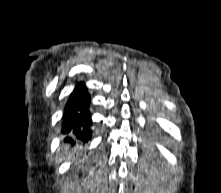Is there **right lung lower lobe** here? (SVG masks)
I'll return each mask as SVG.
<instances>
[{
    "label": "right lung lower lobe",
    "mask_w": 221,
    "mask_h": 193,
    "mask_svg": "<svg viewBox=\"0 0 221 193\" xmlns=\"http://www.w3.org/2000/svg\"><path fill=\"white\" fill-rule=\"evenodd\" d=\"M90 97L84 85L79 84L66 104L62 133L65 141L73 144L74 140L87 142L91 139V115L89 113Z\"/></svg>",
    "instance_id": "right-lung-lower-lobe-1"
}]
</instances>
